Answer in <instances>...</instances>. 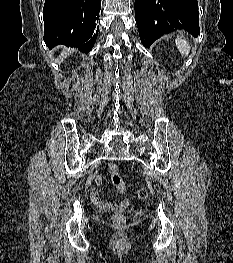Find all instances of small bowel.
<instances>
[{"instance_id": "obj_1", "label": "small bowel", "mask_w": 233, "mask_h": 263, "mask_svg": "<svg viewBox=\"0 0 233 263\" xmlns=\"http://www.w3.org/2000/svg\"><path fill=\"white\" fill-rule=\"evenodd\" d=\"M97 185H101L103 178L98 176L95 180ZM93 200L98 208L103 211L113 210V211H123L129 206V201L127 199L122 200L119 203H113L102 198L98 192H94Z\"/></svg>"}]
</instances>
